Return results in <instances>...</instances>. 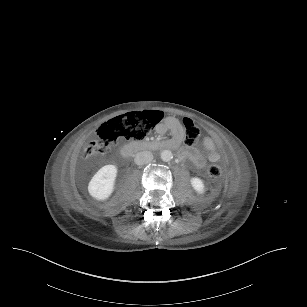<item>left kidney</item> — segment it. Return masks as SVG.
I'll return each instance as SVG.
<instances>
[{
    "instance_id": "obj_1",
    "label": "left kidney",
    "mask_w": 307,
    "mask_h": 307,
    "mask_svg": "<svg viewBox=\"0 0 307 307\" xmlns=\"http://www.w3.org/2000/svg\"><path fill=\"white\" fill-rule=\"evenodd\" d=\"M190 182L192 187L197 193L203 194L205 192L204 183L200 178L197 177L191 178Z\"/></svg>"
}]
</instances>
